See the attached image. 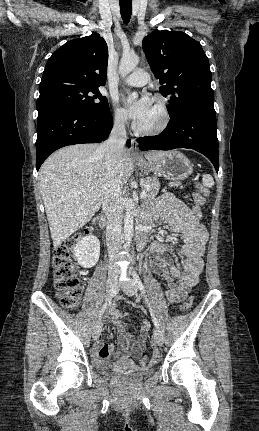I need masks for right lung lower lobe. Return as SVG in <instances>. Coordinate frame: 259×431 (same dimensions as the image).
<instances>
[{
  "label": "right lung lower lobe",
  "instance_id": "right-lung-lower-lobe-1",
  "mask_svg": "<svg viewBox=\"0 0 259 431\" xmlns=\"http://www.w3.org/2000/svg\"><path fill=\"white\" fill-rule=\"evenodd\" d=\"M112 126L109 110L95 112L68 105L43 110L37 120L36 169L61 147L104 141ZM127 145L130 147V141Z\"/></svg>",
  "mask_w": 259,
  "mask_h": 431
}]
</instances>
